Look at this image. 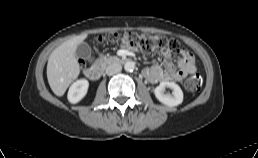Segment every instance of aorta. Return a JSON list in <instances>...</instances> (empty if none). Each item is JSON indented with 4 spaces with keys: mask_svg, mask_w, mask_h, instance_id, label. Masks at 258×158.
<instances>
[{
    "mask_svg": "<svg viewBox=\"0 0 258 158\" xmlns=\"http://www.w3.org/2000/svg\"><path fill=\"white\" fill-rule=\"evenodd\" d=\"M134 68H135V63L133 61H127L124 64V69L127 72H132L134 70Z\"/></svg>",
    "mask_w": 258,
    "mask_h": 158,
    "instance_id": "762f6f07",
    "label": "aorta"
}]
</instances>
